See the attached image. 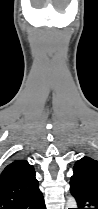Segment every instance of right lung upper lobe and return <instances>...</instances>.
<instances>
[{"label":"right lung upper lobe","instance_id":"obj_1","mask_svg":"<svg viewBox=\"0 0 98 209\" xmlns=\"http://www.w3.org/2000/svg\"><path fill=\"white\" fill-rule=\"evenodd\" d=\"M38 190L34 167L26 160H15L0 173V209H13Z\"/></svg>","mask_w":98,"mask_h":209}]
</instances>
